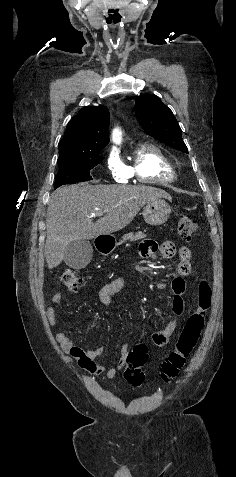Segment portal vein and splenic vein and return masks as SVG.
Here are the masks:
<instances>
[{"instance_id": "obj_1", "label": "portal vein and splenic vein", "mask_w": 236, "mask_h": 477, "mask_svg": "<svg viewBox=\"0 0 236 477\" xmlns=\"http://www.w3.org/2000/svg\"><path fill=\"white\" fill-rule=\"evenodd\" d=\"M103 215V212H93L91 213V217H100Z\"/></svg>"}]
</instances>
